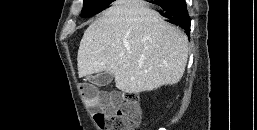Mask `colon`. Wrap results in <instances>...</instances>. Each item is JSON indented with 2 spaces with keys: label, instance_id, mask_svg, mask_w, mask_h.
I'll list each match as a JSON object with an SVG mask.
<instances>
[{
  "label": "colon",
  "instance_id": "1",
  "mask_svg": "<svg viewBox=\"0 0 257 130\" xmlns=\"http://www.w3.org/2000/svg\"><path fill=\"white\" fill-rule=\"evenodd\" d=\"M97 88L89 83L81 85L84 97L92 98ZM142 109L140 98L135 93L125 94L122 104L108 112H98L94 119L102 130H133L141 122Z\"/></svg>",
  "mask_w": 257,
  "mask_h": 130
}]
</instances>
